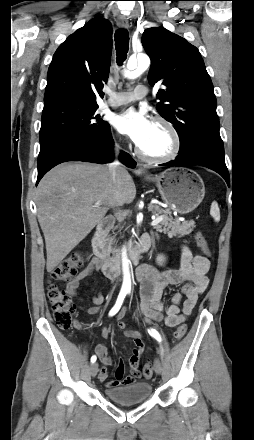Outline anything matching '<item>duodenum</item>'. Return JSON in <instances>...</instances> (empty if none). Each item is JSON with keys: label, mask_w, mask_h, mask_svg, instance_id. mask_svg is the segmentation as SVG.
Returning a JSON list of instances; mask_svg holds the SVG:
<instances>
[{"label": "duodenum", "mask_w": 254, "mask_h": 440, "mask_svg": "<svg viewBox=\"0 0 254 440\" xmlns=\"http://www.w3.org/2000/svg\"><path fill=\"white\" fill-rule=\"evenodd\" d=\"M116 223L114 216L110 215L101 221L96 228L92 237V249L100 261L101 269L104 275L108 278L116 277L125 266L138 263L141 255L151 246L152 239L149 235H144L137 242V244L130 250L127 258V263H123L119 259H113L109 256V249L105 243L104 236L113 228Z\"/></svg>", "instance_id": "410a0bca"}]
</instances>
